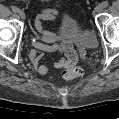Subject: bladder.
I'll return each instance as SVG.
<instances>
[{
  "instance_id": "1",
  "label": "bladder",
  "mask_w": 119,
  "mask_h": 119,
  "mask_svg": "<svg viewBox=\"0 0 119 119\" xmlns=\"http://www.w3.org/2000/svg\"><path fill=\"white\" fill-rule=\"evenodd\" d=\"M60 33L85 49L92 50L97 46V38L94 32L83 27L70 14L63 15Z\"/></svg>"
}]
</instances>
